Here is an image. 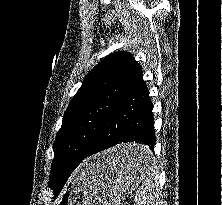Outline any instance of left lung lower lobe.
<instances>
[{
	"mask_svg": "<svg viewBox=\"0 0 222 205\" xmlns=\"http://www.w3.org/2000/svg\"><path fill=\"white\" fill-rule=\"evenodd\" d=\"M146 83L143 80L141 67L134 74L130 84L123 91L108 113L88 151L82 156L68 154L60 162V170H65V177L54 190L57 196L71 173L87 157L127 142L147 145V150H135L122 153L118 160L122 163L140 165L150 160L156 137L154 118Z\"/></svg>",
	"mask_w": 222,
	"mask_h": 205,
	"instance_id": "1",
	"label": "left lung lower lobe"
}]
</instances>
